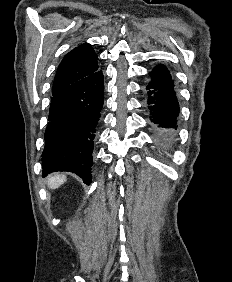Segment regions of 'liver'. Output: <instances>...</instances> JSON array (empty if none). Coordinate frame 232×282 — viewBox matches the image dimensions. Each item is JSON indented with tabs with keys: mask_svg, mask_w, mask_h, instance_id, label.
I'll return each mask as SVG.
<instances>
[{
	"mask_svg": "<svg viewBox=\"0 0 232 282\" xmlns=\"http://www.w3.org/2000/svg\"><path fill=\"white\" fill-rule=\"evenodd\" d=\"M66 181L64 175L55 174L48 178V187L51 189H56L61 186Z\"/></svg>",
	"mask_w": 232,
	"mask_h": 282,
	"instance_id": "obj_1",
	"label": "liver"
}]
</instances>
